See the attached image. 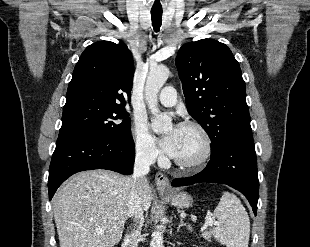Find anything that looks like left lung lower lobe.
Here are the masks:
<instances>
[{"mask_svg": "<svg viewBox=\"0 0 310 247\" xmlns=\"http://www.w3.org/2000/svg\"><path fill=\"white\" fill-rule=\"evenodd\" d=\"M209 182L227 184L240 191L257 213L259 180L252 136L240 137L211 152V159L200 173L172 181V186Z\"/></svg>", "mask_w": 310, "mask_h": 247, "instance_id": "left-lung-lower-lobe-1", "label": "left lung lower lobe"}]
</instances>
